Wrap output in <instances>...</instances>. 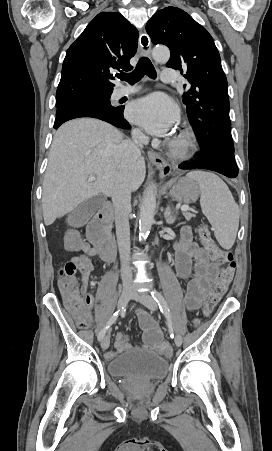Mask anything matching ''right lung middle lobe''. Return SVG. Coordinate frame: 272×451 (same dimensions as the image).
Segmentation results:
<instances>
[{"label":"right lung middle lobe","mask_w":272,"mask_h":451,"mask_svg":"<svg viewBox=\"0 0 272 451\" xmlns=\"http://www.w3.org/2000/svg\"><path fill=\"white\" fill-rule=\"evenodd\" d=\"M110 95L111 93L92 94L78 97L56 99V107H57L56 117L68 111L81 108L93 109L107 114L115 113L120 110V107H113L111 105L109 100Z\"/></svg>","instance_id":"dd1d6c3e"}]
</instances>
